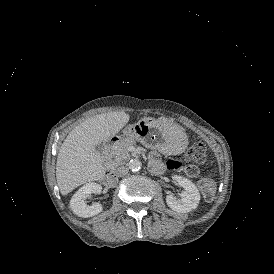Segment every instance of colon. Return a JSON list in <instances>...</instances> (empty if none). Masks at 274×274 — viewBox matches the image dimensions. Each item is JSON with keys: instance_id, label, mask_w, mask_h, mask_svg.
Returning <instances> with one entry per match:
<instances>
[{"instance_id": "colon-1", "label": "colon", "mask_w": 274, "mask_h": 274, "mask_svg": "<svg viewBox=\"0 0 274 274\" xmlns=\"http://www.w3.org/2000/svg\"><path fill=\"white\" fill-rule=\"evenodd\" d=\"M205 145L201 142L193 143L184 153L183 159L188 163L184 165L178 160H174L173 165L176 169H182L185 173L194 176L199 170L197 164L205 160ZM200 186L206 200H212L215 193V180L213 172L208 170L201 178Z\"/></svg>"}]
</instances>
